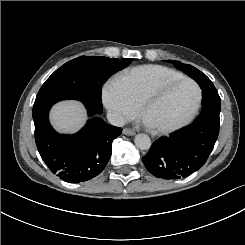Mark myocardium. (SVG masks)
Masks as SVG:
<instances>
[{
    "instance_id": "f54148a6",
    "label": "myocardium",
    "mask_w": 245,
    "mask_h": 245,
    "mask_svg": "<svg viewBox=\"0 0 245 245\" xmlns=\"http://www.w3.org/2000/svg\"><path fill=\"white\" fill-rule=\"evenodd\" d=\"M177 82H187L189 83L193 88L195 92V99L194 103L189 110V112L179 121L174 122V123H169V124H164V125H148L149 128L157 133H170L172 131L178 130L185 125H187L196 112L198 111L200 104H201V99H202V93L199 85L191 78L186 77V76H179V77H174V78H169V79H164V80H158L155 81L151 84H149L141 93L137 107L138 111L142 113L144 111L145 104L150 97L152 93L155 91L159 90L162 87H169L174 85Z\"/></svg>"
}]
</instances>
